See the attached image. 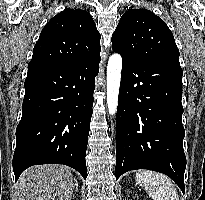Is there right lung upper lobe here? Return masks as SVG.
Segmentation results:
<instances>
[{
  "instance_id": "cb5924a9",
  "label": "right lung upper lobe",
  "mask_w": 205,
  "mask_h": 200,
  "mask_svg": "<svg viewBox=\"0 0 205 200\" xmlns=\"http://www.w3.org/2000/svg\"><path fill=\"white\" fill-rule=\"evenodd\" d=\"M100 51V33L91 15L80 9H65L41 31L30 63H74Z\"/></svg>"
}]
</instances>
